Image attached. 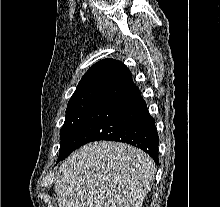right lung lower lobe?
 Here are the masks:
<instances>
[{
    "mask_svg": "<svg viewBox=\"0 0 220 207\" xmlns=\"http://www.w3.org/2000/svg\"><path fill=\"white\" fill-rule=\"evenodd\" d=\"M96 140H113L137 146L158 163L159 137L155 120L149 114L128 69L102 83L59 161L78 147Z\"/></svg>",
    "mask_w": 220,
    "mask_h": 207,
    "instance_id": "1",
    "label": "right lung lower lobe"
}]
</instances>
